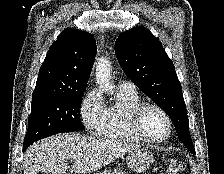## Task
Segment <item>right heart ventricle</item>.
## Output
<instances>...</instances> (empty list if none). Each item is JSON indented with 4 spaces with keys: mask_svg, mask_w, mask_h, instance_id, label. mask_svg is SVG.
Instances as JSON below:
<instances>
[{
    "mask_svg": "<svg viewBox=\"0 0 224 174\" xmlns=\"http://www.w3.org/2000/svg\"><path fill=\"white\" fill-rule=\"evenodd\" d=\"M141 102L136 91L118 89L116 101L104 108V119L98 135L114 141L141 142L129 121L131 111Z\"/></svg>",
    "mask_w": 224,
    "mask_h": 174,
    "instance_id": "obj_1",
    "label": "right heart ventricle"
}]
</instances>
